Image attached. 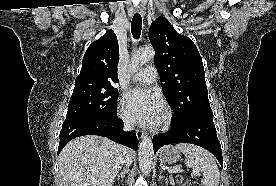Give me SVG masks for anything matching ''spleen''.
Segmentation results:
<instances>
[{"label": "spleen", "instance_id": "obj_1", "mask_svg": "<svg viewBox=\"0 0 276 186\" xmlns=\"http://www.w3.org/2000/svg\"><path fill=\"white\" fill-rule=\"evenodd\" d=\"M175 148L185 154L187 167L203 172L201 179L203 186L219 185L220 172L213 156L208 151L188 143H179Z\"/></svg>", "mask_w": 276, "mask_h": 186}]
</instances>
